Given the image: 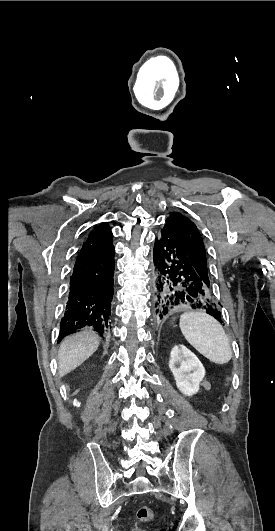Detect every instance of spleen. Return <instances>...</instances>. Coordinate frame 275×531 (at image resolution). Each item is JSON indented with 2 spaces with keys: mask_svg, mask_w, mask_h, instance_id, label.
<instances>
[{
  "mask_svg": "<svg viewBox=\"0 0 275 531\" xmlns=\"http://www.w3.org/2000/svg\"><path fill=\"white\" fill-rule=\"evenodd\" d=\"M179 327L188 343L206 359L225 365L232 357L229 339L219 321L207 313L186 311L180 317Z\"/></svg>",
  "mask_w": 275,
  "mask_h": 531,
  "instance_id": "3e777b00",
  "label": "spleen"
}]
</instances>
